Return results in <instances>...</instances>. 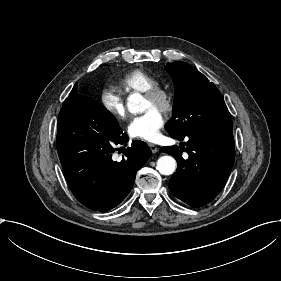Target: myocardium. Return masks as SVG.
I'll return each mask as SVG.
<instances>
[{"instance_id":"1","label":"myocardium","mask_w":281,"mask_h":281,"mask_svg":"<svg viewBox=\"0 0 281 281\" xmlns=\"http://www.w3.org/2000/svg\"><path fill=\"white\" fill-rule=\"evenodd\" d=\"M145 99L151 106L163 113H168L172 109V97L169 92L162 88H154L145 93Z\"/></svg>"}]
</instances>
